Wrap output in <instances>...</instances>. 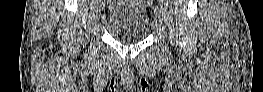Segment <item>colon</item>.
Instances as JSON below:
<instances>
[{
	"label": "colon",
	"mask_w": 263,
	"mask_h": 92,
	"mask_svg": "<svg viewBox=\"0 0 263 92\" xmlns=\"http://www.w3.org/2000/svg\"><path fill=\"white\" fill-rule=\"evenodd\" d=\"M139 2H140V5H142V4H143L141 1H139ZM147 2H151V1H147Z\"/></svg>",
	"instance_id": "1"
}]
</instances>
